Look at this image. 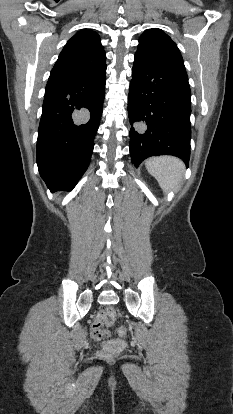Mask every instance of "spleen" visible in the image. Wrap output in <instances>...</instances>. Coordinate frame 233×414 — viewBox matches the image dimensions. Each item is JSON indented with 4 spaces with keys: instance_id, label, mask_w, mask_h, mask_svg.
<instances>
[{
    "instance_id": "1",
    "label": "spleen",
    "mask_w": 233,
    "mask_h": 414,
    "mask_svg": "<svg viewBox=\"0 0 233 414\" xmlns=\"http://www.w3.org/2000/svg\"><path fill=\"white\" fill-rule=\"evenodd\" d=\"M145 166L166 193L174 191L183 184L185 165L176 157H152L146 160Z\"/></svg>"
}]
</instances>
